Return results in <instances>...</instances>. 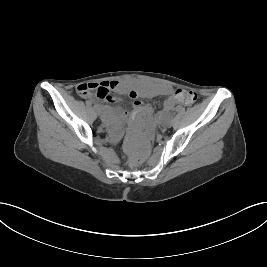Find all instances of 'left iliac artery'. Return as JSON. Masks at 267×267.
Here are the masks:
<instances>
[{
	"label": "left iliac artery",
	"instance_id": "44dca946",
	"mask_svg": "<svg viewBox=\"0 0 267 267\" xmlns=\"http://www.w3.org/2000/svg\"><path fill=\"white\" fill-rule=\"evenodd\" d=\"M172 118H173V117H172L171 115H169V116L166 117V121H171Z\"/></svg>",
	"mask_w": 267,
	"mask_h": 267
}]
</instances>
